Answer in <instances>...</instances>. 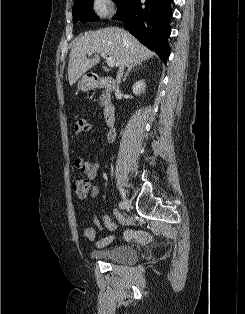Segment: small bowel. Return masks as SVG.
<instances>
[{
	"label": "small bowel",
	"mask_w": 245,
	"mask_h": 314,
	"mask_svg": "<svg viewBox=\"0 0 245 314\" xmlns=\"http://www.w3.org/2000/svg\"><path fill=\"white\" fill-rule=\"evenodd\" d=\"M84 123L85 126L81 125L80 123ZM90 130V124L86 119H79L75 125H74V134L75 137L78 141L82 142L81 140V136ZM108 140L110 142H114L115 141V133L114 132H110L108 134ZM76 167L85 172L91 179H94L95 176L97 175L98 171L100 170V163L99 162H90L88 160H86L85 158H78L76 160ZM99 189L96 185H93L91 188V197L95 198L98 195ZM115 215L118 218H121L120 214L118 212H115ZM101 223L103 224V226L109 230V231H115L117 229V225L112 222L110 220V218L106 215L101 217ZM100 221H96L98 224ZM84 236L87 240H94L96 237V231L93 228H86L84 230ZM115 238V235H110L107 237L102 238L101 240L98 241V245L99 246H104L107 245L109 243H111ZM125 238L126 240H136L139 243H145L148 242L151 239V235L148 232L145 231H134V230H130L127 231L125 234Z\"/></svg>",
	"instance_id": "c3829d8e"
}]
</instances>
